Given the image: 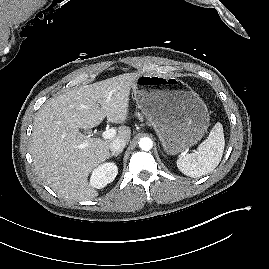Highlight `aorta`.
<instances>
[{"instance_id": "762f6f07", "label": "aorta", "mask_w": 269, "mask_h": 269, "mask_svg": "<svg viewBox=\"0 0 269 269\" xmlns=\"http://www.w3.org/2000/svg\"><path fill=\"white\" fill-rule=\"evenodd\" d=\"M140 149L149 151L153 147V141L149 137H143L139 141Z\"/></svg>"}]
</instances>
